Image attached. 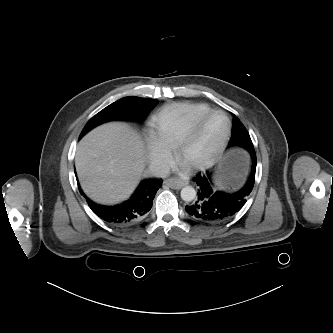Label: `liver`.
<instances>
[{"label":"liver","instance_id":"liver-1","mask_svg":"<svg viewBox=\"0 0 333 333\" xmlns=\"http://www.w3.org/2000/svg\"><path fill=\"white\" fill-rule=\"evenodd\" d=\"M75 167L85 194L95 202L113 204L128 197L144 170V143L126 124L109 123L79 143Z\"/></svg>","mask_w":333,"mask_h":333}]
</instances>
